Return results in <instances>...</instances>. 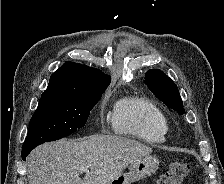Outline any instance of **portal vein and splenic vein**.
<instances>
[{
  "label": "portal vein and splenic vein",
  "mask_w": 224,
  "mask_h": 184,
  "mask_svg": "<svg viewBox=\"0 0 224 184\" xmlns=\"http://www.w3.org/2000/svg\"><path fill=\"white\" fill-rule=\"evenodd\" d=\"M80 171H88V168L82 167L80 168Z\"/></svg>",
  "instance_id": "portal-vein-and-splenic-vein-1"
}]
</instances>
